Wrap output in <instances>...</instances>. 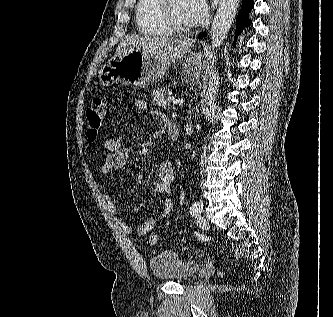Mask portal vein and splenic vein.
<instances>
[{"label":"portal vein and splenic vein","instance_id":"1","mask_svg":"<svg viewBox=\"0 0 333 317\" xmlns=\"http://www.w3.org/2000/svg\"><path fill=\"white\" fill-rule=\"evenodd\" d=\"M168 101L169 102H172L174 105H181V104H183V100H181V99H175V98H168Z\"/></svg>","mask_w":333,"mask_h":317}]
</instances>
